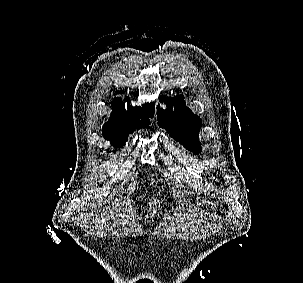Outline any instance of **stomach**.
Wrapping results in <instances>:
<instances>
[{
	"instance_id": "obj_1",
	"label": "stomach",
	"mask_w": 303,
	"mask_h": 283,
	"mask_svg": "<svg viewBox=\"0 0 303 283\" xmlns=\"http://www.w3.org/2000/svg\"><path fill=\"white\" fill-rule=\"evenodd\" d=\"M207 201L205 200V199H203V198H198V204L199 205H207Z\"/></svg>"
}]
</instances>
